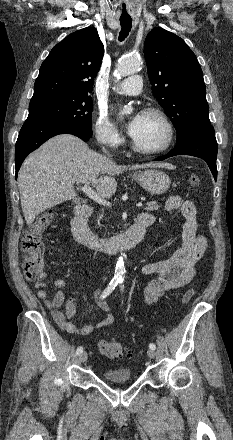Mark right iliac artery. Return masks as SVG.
<instances>
[{
    "instance_id": "obj_1",
    "label": "right iliac artery",
    "mask_w": 233,
    "mask_h": 440,
    "mask_svg": "<svg viewBox=\"0 0 233 440\" xmlns=\"http://www.w3.org/2000/svg\"><path fill=\"white\" fill-rule=\"evenodd\" d=\"M119 280L117 279H113L111 280V282L109 283V285L107 286V288L103 291L101 298H106L110 293H112V291L115 289V287L118 285ZM83 352V348L80 346L77 348L76 350V354L80 355Z\"/></svg>"
}]
</instances>
